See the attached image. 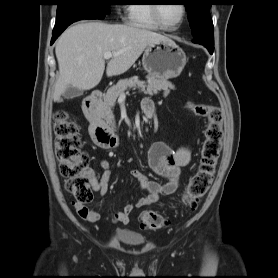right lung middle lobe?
I'll use <instances>...</instances> for the list:
<instances>
[{
	"instance_id": "1",
	"label": "right lung middle lobe",
	"mask_w": 278,
	"mask_h": 278,
	"mask_svg": "<svg viewBox=\"0 0 278 278\" xmlns=\"http://www.w3.org/2000/svg\"><path fill=\"white\" fill-rule=\"evenodd\" d=\"M113 0H57L55 27L82 19H103L110 13Z\"/></svg>"
}]
</instances>
